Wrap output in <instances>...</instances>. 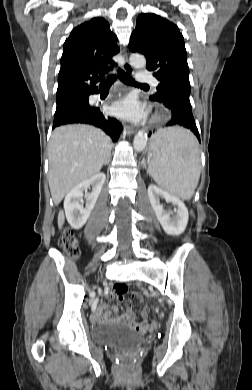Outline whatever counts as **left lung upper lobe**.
Here are the masks:
<instances>
[{
	"label": "left lung upper lobe",
	"mask_w": 252,
	"mask_h": 390,
	"mask_svg": "<svg viewBox=\"0 0 252 390\" xmlns=\"http://www.w3.org/2000/svg\"><path fill=\"white\" fill-rule=\"evenodd\" d=\"M129 49L146 57V68L160 82L151 100H159L165 90L190 95L187 52L184 38L175 24L153 13L139 15Z\"/></svg>",
	"instance_id": "1"
}]
</instances>
